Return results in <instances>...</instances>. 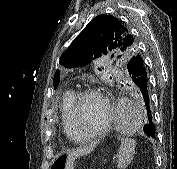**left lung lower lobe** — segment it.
Returning a JSON list of instances; mask_svg holds the SVG:
<instances>
[{"mask_svg": "<svg viewBox=\"0 0 177 169\" xmlns=\"http://www.w3.org/2000/svg\"><path fill=\"white\" fill-rule=\"evenodd\" d=\"M126 69L133 89L137 92L140 103L142 104L147 117V123L144 125L143 131L148 137L155 138V126L150 104L147 69L143 57L140 54L134 55L128 61Z\"/></svg>", "mask_w": 177, "mask_h": 169, "instance_id": "obj_1", "label": "left lung lower lobe"}]
</instances>
